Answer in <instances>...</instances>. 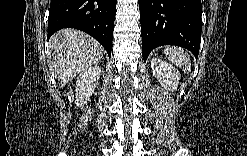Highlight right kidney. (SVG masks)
Here are the masks:
<instances>
[{
    "mask_svg": "<svg viewBox=\"0 0 247 156\" xmlns=\"http://www.w3.org/2000/svg\"><path fill=\"white\" fill-rule=\"evenodd\" d=\"M101 75V68L98 65H92L83 70L76 82V106H83L90 100V96L94 93L98 80Z\"/></svg>",
    "mask_w": 247,
    "mask_h": 156,
    "instance_id": "1",
    "label": "right kidney"
}]
</instances>
